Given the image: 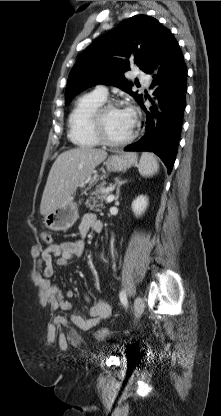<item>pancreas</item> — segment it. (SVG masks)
<instances>
[{
  "mask_svg": "<svg viewBox=\"0 0 221 416\" xmlns=\"http://www.w3.org/2000/svg\"><path fill=\"white\" fill-rule=\"evenodd\" d=\"M107 196L108 193L105 191L104 185H98L95 191L91 193L90 199L86 201V207L90 208V210H99V208H103V201Z\"/></svg>",
  "mask_w": 221,
  "mask_h": 416,
  "instance_id": "obj_1",
  "label": "pancreas"
}]
</instances>
